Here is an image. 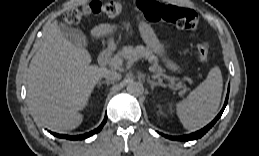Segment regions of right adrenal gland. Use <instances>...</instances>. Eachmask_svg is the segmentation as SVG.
<instances>
[{
  "mask_svg": "<svg viewBox=\"0 0 259 156\" xmlns=\"http://www.w3.org/2000/svg\"><path fill=\"white\" fill-rule=\"evenodd\" d=\"M112 83H113L112 81H102V82H99L98 87L100 88V86H101L102 84L110 85V84H112Z\"/></svg>",
  "mask_w": 259,
  "mask_h": 156,
  "instance_id": "1",
  "label": "right adrenal gland"
}]
</instances>
